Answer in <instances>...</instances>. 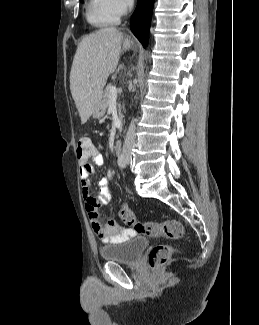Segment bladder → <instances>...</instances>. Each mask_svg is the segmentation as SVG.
<instances>
[{
	"instance_id": "obj_1",
	"label": "bladder",
	"mask_w": 259,
	"mask_h": 325,
	"mask_svg": "<svg viewBox=\"0 0 259 325\" xmlns=\"http://www.w3.org/2000/svg\"><path fill=\"white\" fill-rule=\"evenodd\" d=\"M149 241L145 237H134L127 241L106 245L100 248V256L103 260L120 264H136Z\"/></svg>"
}]
</instances>
